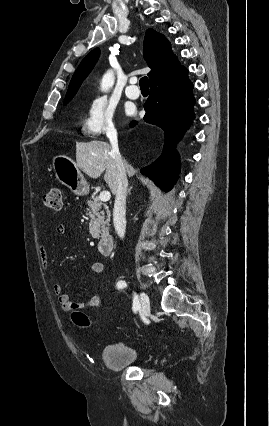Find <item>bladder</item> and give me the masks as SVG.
I'll return each instance as SVG.
<instances>
[{
	"mask_svg": "<svg viewBox=\"0 0 269 426\" xmlns=\"http://www.w3.org/2000/svg\"><path fill=\"white\" fill-rule=\"evenodd\" d=\"M100 357L108 368L118 370L138 362L141 353L132 345L111 343L103 347Z\"/></svg>",
	"mask_w": 269,
	"mask_h": 426,
	"instance_id": "1",
	"label": "bladder"
}]
</instances>
